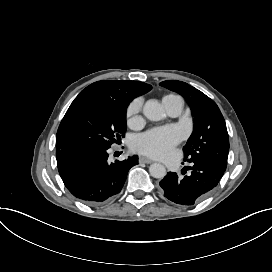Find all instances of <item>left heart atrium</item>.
I'll return each instance as SVG.
<instances>
[{
    "instance_id": "left-heart-atrium-1",
    "label": "left heart atrium",
    "mask_w": 272,
    "mask_h": 272,
    "mask_svg": "<svg viewBox=\"0 0 272 272\" xmlns=\"http://www.w3.org/2000/svg\"><path fill=\"white\" fill-rule=\"evenodd\" d=\"M177 142L178 137L174 128L159 127L139 136L132 147L137 152L164 159L171 154Z\"/></svg>"
}]
</instances>
